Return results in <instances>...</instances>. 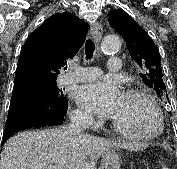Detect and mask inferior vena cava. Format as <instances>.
<instances>
[{
	"label": "inferior vena cava",
	"instance_id": "602c4592",
	"mask_svg": "<svg viewBox=\"0 0 177 169\" xmlns=\"http://www.w3.org/2000/svg\"><path fill=\"white\" fill-rule=\"evenodd\" d=\"M92 122L91 116H82L78 117L71 123L68 127V130L74 134L84 135V130Z\"/></svg>",
	"mask_w": 177,
	"mask_h": 169
}]
</instances>
